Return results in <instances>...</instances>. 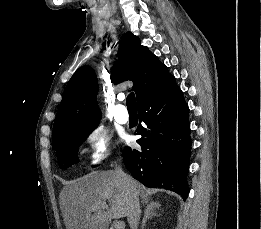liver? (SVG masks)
<instances>
[{"mask_svg":"<svg viewBox=\"0 0 261 229\" xmlns=\"http://www.w3.org/2000/svg\"><path fill=\"white\" fill-rule=\"evenodd\" d=\"M133 181V179H132ZM135 193L142 205L149 199L142 191L143 185L133 181ZM109 199V207L105 201ZM130 199L121 177L113 171H93L85 177L71 181L68 197L64 199V219L67 229H106L109 213L113 219L129 217ZM107 209V211H100ZM94 213V215H92Z\"/></svg>","mask_w":261,"mask_h":229,"instance_id":"1","label":"liver"}]
</instances>
